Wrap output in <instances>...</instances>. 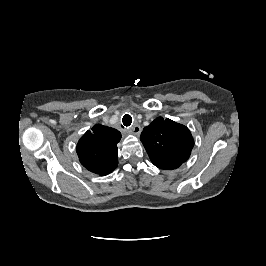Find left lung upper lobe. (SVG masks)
Listing matches in <instances>:
<instances>
[{"label": "left lung upper lobe", "instance_id": "1", "mask_svg": "<svg viewBox=\"0 0 266 266\" xmlns=\"http://www.w3.org/2000/svg\"><path fill=\"white\" fill-rule=\"evenodd\" d=\"M152 163L161 169H176L186 162L194 145L189 129L170 119L156 118L140 137Z\"/></svg>", "mask_w": 266, "mask_h": 266}]
</instances>
